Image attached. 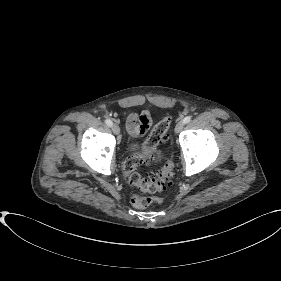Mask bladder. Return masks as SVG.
<instances>
[{
  "mask_svg": "<svg viewBox=\"0 0 281 281\" xmlns=\"http://www.w3.org/2000/svg\"><path fill=\"white\" fill-rule=\"evenodd\" d=\"M138 147H139V141L135 139L130 140L127 144V150L129 152H135L138 149Z\"/></svg>",
  "mask_w": 281,
  "mask_h": 281,
  "instance_id": "1",
  "label": "bladder"
}]
</instances>
